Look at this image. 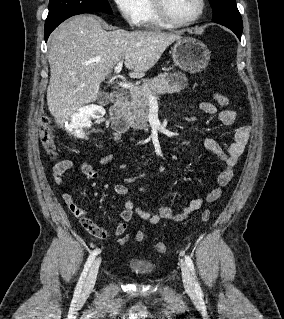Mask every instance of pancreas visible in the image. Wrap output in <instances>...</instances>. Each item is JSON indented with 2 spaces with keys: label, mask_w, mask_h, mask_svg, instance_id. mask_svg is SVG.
<instances>
[{
  "label": "pancreas",
  "mask_w": 284,
  "mask_h": 319,
  "mask_svg": "<svg viewBox=\"0 0 284 319\" xmlns=\"http://www.w3.org/2000/svg\"><path fill=\"white\" fill-rule=\"evenodd\" d=\"M178 78L183 81L179 82ZM187 79L181 73H161L153 79H147L137 89L130 92V98L125 101L123 114L130 126L136 130L148 131V96L179 92L186 85Z\"/></svg>",
  "instance_id": "cf45deb5"
}]
</instances>
